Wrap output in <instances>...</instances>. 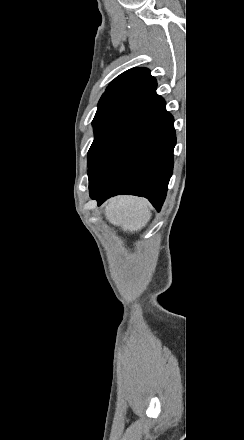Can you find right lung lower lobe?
I'll list each match as a JSON object with an SVG mask.
<instances>
[{
  "mask_svg": "<svg viewBox=\"0 0 244 440\" xmlns=\"http://www.w3.org/2000/svg\"><path fill=\"white\" fill-rule=\"evenodd\" d=\"M173 117L154 91L115 125L88 170L90 197L98 205L111 196L133 194L160 210L173 170Z\"/></svg>",
  "mask_w": 244,
  "mask_h": 440,
  "instance_id": "obj_1",
  "label": "right lung lower lobe"
}]
</instances>
